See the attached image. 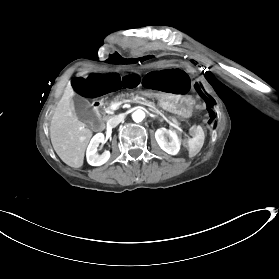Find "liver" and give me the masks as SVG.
I'll use <instances>...</instances> for the list:
<instances>
[{
  "mask_svg": "<svg viewBox=\"0 0 279 279\" xmlns=\"http://www.w3.org/2000/svg\"><path fill=\"white\" fill-rule=\"evenodd\" d=\"M75 95L68 85L58 102L50 123V139L53 149L68 166L83 165L85 149L92 137V131L78 120L72 98Z\"/></svg>",
  "mask_w": 279,
  "mask_h": 279,
  "instance_id": "1",
  "label": "liver"
}]
</instances>
